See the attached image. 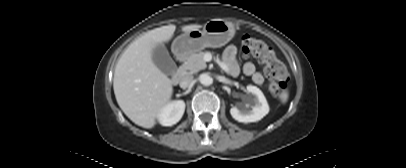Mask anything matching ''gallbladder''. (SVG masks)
I'll use <instances>...</instances> for the list:
<instances>
[{"instance_id": "1", "label": "gallbladder", "mask_w": 406, "mask_h": 168, "mask_svg": "<svg viewBox=\"0 0 406 168\" xmlns=\"http://www.w3.org/2000/svg\"><path fill=\"white\" fill-rule=\"evenodd\" d=\"M154 64L166 74H172L176 68L175 62L169 55V52L164 44H158L152 53Z\"/></svg>"}]
</instances>
